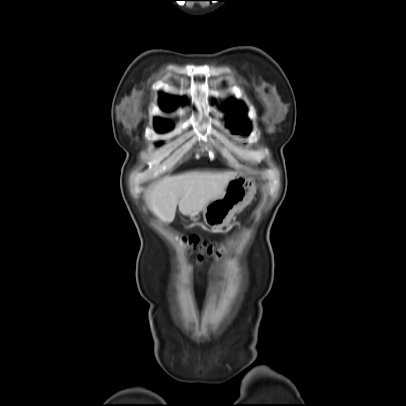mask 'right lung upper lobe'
<instances>
[{"instance_id":"cb5924a9","label":"right lung upper lobe","mask_w":406,"mask_h":406,"mask_svg":"<svg viewBox=\"0 0 406 406\" xmlns=\"http://www.w3.org/2000/svg\"><path fill=\"white\" fill-rule=\"evenodd\" d=\"M161 103H162L164 108L171 109L173 107V102L170 99H168L167 97H162L161 98ZM159 123H167V124H169L166 121L158 119L156 121V124H159Z\"/></svg>"}]
</instances>
